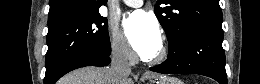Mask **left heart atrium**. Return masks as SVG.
<instances>
[{
  "mask_svg": "<svg viewBox=\"0 0 260 84\" xmlns=\"http://www.w3.org/2000/svg\"><path fill=\"white\" fill-rule=\"evenodd\" d=\"M123 30L131 47L143 58L154 56L161 46V31L152 15L137 10L123 21Z\"/></svg>",
  "mask_w": 260,
  "mask_h": 84,
  "instance_id": "1",
  "label": "left heart atrium"
}]
</instances>
